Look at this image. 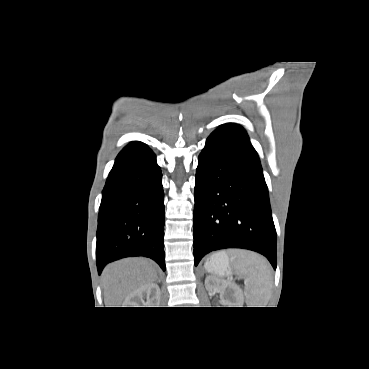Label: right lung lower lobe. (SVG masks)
Instances as JSON below:
<instances>
[{"label": "right lung lower lobe", "instance_id": "1", "mask_svg": "<svg viewBox=\"0 0 369 369\" xmlns=\"http://www.w3.org/2000/svg\"><path fill=\"white\" fill-rule=\"evenodd\" d=\"M154 153L132 142L117 156L102 192L98 217V273L112 261L146 256L165 271L164 193Z\"/></svg>", "mask_w": 369, "mask_h": 369}]
</instances>
